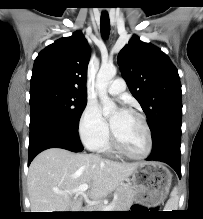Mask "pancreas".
Returning a JSON list of instances; mask_svg holds the SVG:
<instances>
[{"mask_svg": "<svg viewBox=\"0 0 203 219\" xmlns=\"http://www.w3.org/2000/svg\"><path fill=\"white\" fill-rule=\"evenodd\" d=\"M135 194L136 192L132 187H119L115 192L116 199L113 202L114 209L112 211H125L128 209L132 204ZM104 206L103 203H100L94 206L92 211H102Z\"/></svg>", "mask_w": 203, "mask_h": 219, "instance_id": "cf45deb5", "label": "pancreas"}]
</instances>
